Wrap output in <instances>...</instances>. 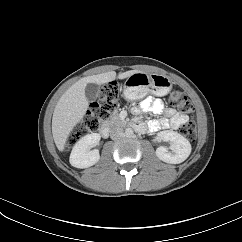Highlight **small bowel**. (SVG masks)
<instances>
[{"label":"small bowel","instance_id":"small-bowel-1","mask_svg":"<svg viewBox=\"0 0 242 242\" xmlns=\"http://www.w3.org/2000/svg\"><path fill=\"white\" fill-rule=\"evenodd\" d=\"M151 112L154 114H164L165 117L160 119L151 120L148 123L141 121H135V128L138 131H158L165 129L176 130L179 129L188 121V116L177 112L172 108L165 107L160 99H154L151 96L146 97L140 104L139 107L134 108L135 113L140 112Z\"/></svg>","mask_w":242,"mask_h":242}]
</instances>
